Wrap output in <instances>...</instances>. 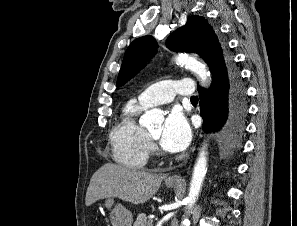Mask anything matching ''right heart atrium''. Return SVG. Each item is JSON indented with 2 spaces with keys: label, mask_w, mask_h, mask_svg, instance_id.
Segmentation results:
<instances>
[{
  "label": "right heart atrium",
  "mask_w": 297,
  "mask_h": 226,
  "mask_svg": "<svg viewBox=\"0 0 297 226\" xmlns=\"http://www.w3.org/2000/svg\"><path fill=\"white\" fill-rule=\"evenodd\" d=\"M153 149V145L152 144H150V150H152Z\"/></svg>",
  "instance_id": "obj_1"
}]
</instances>
